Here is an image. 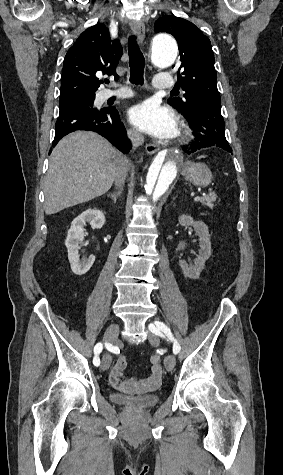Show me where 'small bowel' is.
<instances>
[{
    "label": "small bowel",
    "instance_id": "obj_1",
    "mask_svg": "<svg viewBox=\"0 0 283 475\" xmlns=\"http://www.w3.org/2000/svg\"><path fill=\"white\" fill-rule=\"evenodd\" d=\"M127 367L126 358L121 355L116 360L115 364L110 370L109 373V383L115 389L126 391L128 389L129 384H135L136 378L130 377L129 380H125L123 378V372ZM163 375L162 367L160 369H154L152 367V374L148 378L147 376H141L139 378V383L141 385H147L148 383L152 385H158L161 382Z\"/></svg>",
    "mask_w": 283,
    "mask_h": 475
}]
</instances>
